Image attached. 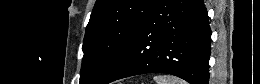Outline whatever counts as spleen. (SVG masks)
I'll use <instances>...</instances> for the list:
<instances>
[{
  "instance_id": "3e777b00",
  "label": "spleen",
  "mask_w": 260,
  "mask_h": 84,
  "mask_svg": "<svg viewBox=\"0 0 260 84\" xmlns=\"http://www.w3.org/2000/svg\"><path fill=\"white\" fill-rule=\"evenodd\" d=\"M154 81L157 84H187L184 80L171 75H156Z\"/></svg>"
}]
</instances>
